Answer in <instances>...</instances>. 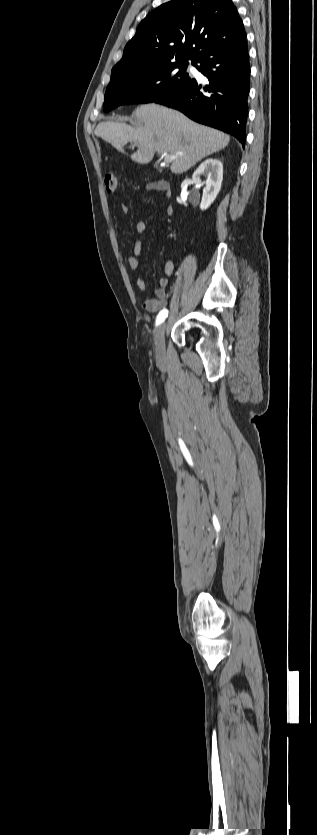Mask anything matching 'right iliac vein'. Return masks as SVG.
Segmentation results:
<instances>
[{
  "label": "right iliac vein",
  "mask_w": 317,
  "mask_h": 835,
  "mask_svg": "<svg viewBox=\"0 0 317 835\" xmlns=\"http://www.w3.org/2000/svg\"><path fill=\"white\" fill-rule=\"evenodd\" d=\"M166 329V322H163L157 329L156 337H155V344L158 350V353H162L164 349V333Z\"/></svg>",
  "instance_id": "obj_1"
}]
</instances>
